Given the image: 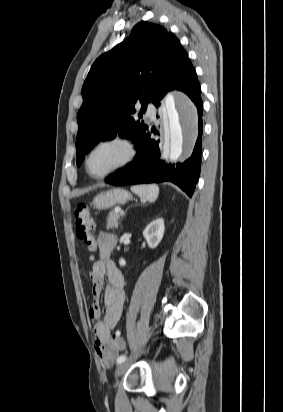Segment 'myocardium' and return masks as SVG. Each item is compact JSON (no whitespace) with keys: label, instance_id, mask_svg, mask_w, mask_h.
Masks as SVG:
<instances>
[{"label":"myocardium","instance_id":"1","mask_svg":"<svg viewBox=\"0 0 283 412\" xmlns=\"http://www.w3.org/2000/svg\"><path fill=\"white\" fill-rule=\"evenodd\" d=\"M110 144H120L125 148V156L123 157V159L118 164H116L114 167H112L111 169L103 173L95 174L91 172L90 167H89V161H90L92 154L100 147L110 145ZM136 154H137V147H136L135 142L127 136L116 134V135H113V136H110V137H107V138H104L98 141L88 150V152L86 153L85 159H84V167H85L86 172L92 178L103 179V178H106L118 172L119 170L127 166L135 158Z\"/></svg>","mask_w":283,"mask_h":412}]
</instances>
